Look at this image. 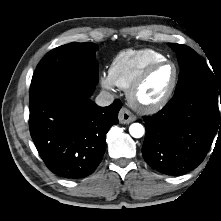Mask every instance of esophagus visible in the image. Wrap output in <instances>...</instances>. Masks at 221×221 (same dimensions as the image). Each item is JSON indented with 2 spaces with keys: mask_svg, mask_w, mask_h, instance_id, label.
I'll list each match as a JSON object with an SVG mask.
<instances>
[{
  "mask_svg": "<svg viewBox=\"0 0 221 221\" xmlns=\"http://www.w3.org/2000/svg\"><path fill=\"white\" fill-rule=\"evenodd\" d=\"M118 119L121 124H129L136 120V116L127 108H122L119 112Z\"/></svg>",
  "mask_w": 221,
  "mask_h": 221,
  "instance_id": "esophagus-1",
  "label": "esophagus"
}]
</instances>
